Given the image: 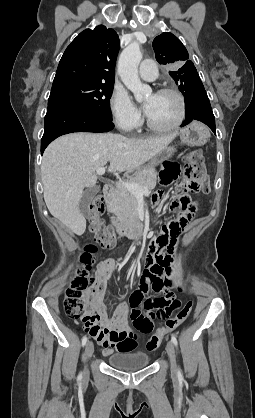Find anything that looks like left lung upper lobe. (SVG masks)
Returning a JSON list of instances; mask_svg holds the SVG:
<instances>
[{
    "mask_svg": "<svg viewBox=\"0 0 255 418\" xmlns=\"http://www.w3.org/2000/svg\"><path fill=\"white\" fill-rule=\"evenodd\" d=\"M156 60L160 64L172 65L170 76L179 86V90L186 96L189 93L204 89L198 72L182 42L169 32L162 33L153 40Z\"/></svg>",
    "mask_w": 255,
    "mask_h": 418,
    "instance_id": "obj_1",
    "label": "left lung upper lobe"
}]
</instances>
